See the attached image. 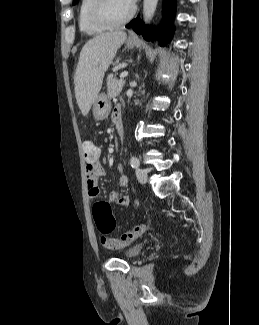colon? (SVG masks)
<instances>
[{"label": "colon", "instance_id": "5ec220e1", "mask_svg": "<svg viewBox=\"0 0 259 325\" xmlns=\"http://www.w3.org/2000/svg\"><path fill=\"white\" fill-rule=\"evenodd\" d=\"M85 160H94L98 156V147L90 140H85L82 144ZM93 217L98 230L103 234L102 245L107 249H119L130 245L133 241L141 237L146 229V224H137L131 230L121 234L119 237H109L116 225L112 215L111 206L106 201H99L93 206Z\"/></svg>", "mask_w": 259, "mask_h": 325}]
</instances>
